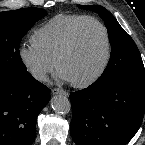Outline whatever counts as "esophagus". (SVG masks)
I'll return each instance as SVG.
<instances>
[{"label":"esophagus","instance_id":"obj_1","mask_svg":"<svg viewBox=\"0 0 145 145\" xmlns=\"http://www.w3.org/2000/svg\"><path fill=\"white\" fill-rule=\"evenodd\" d=\"M51 93L53 95H57V94H62V95H65V96L68 95V93L65 90H62V89H59V88L52 89Z\"/></svg>","mask_w":145,"mask_h":145}]
</instances>
